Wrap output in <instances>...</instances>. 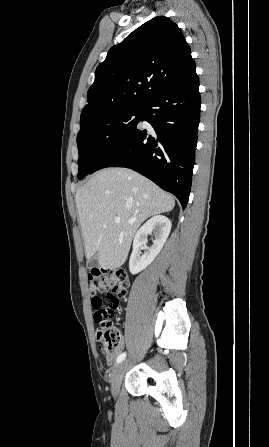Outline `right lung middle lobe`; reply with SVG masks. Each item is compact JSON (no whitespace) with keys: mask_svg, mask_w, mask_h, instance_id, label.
<instances>
[{"mask_svg":"<svg viewBox=\"0 0 269 447\" xmlns=\"http://www.w3.org/2000/svg\"><path fill=\"white\" fill-rule=\"evenodd\" d=\"M144 107L139 104L117 108L81 125L77 135L79 179L89 174L107 152L136 129Z\"/></svg>","mask_w":269,"mask_h":447,"instance_id":"dd1d6c3e","label":"right lung middle lobe"}]
</instances>
